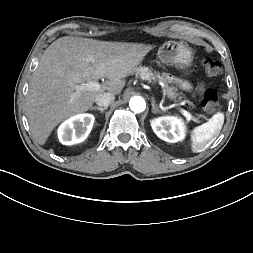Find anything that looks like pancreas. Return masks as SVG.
<instances>
[{"instance_id":"1","label":"pancreas","mask_w":253,"mask_h":253,"mask_svg":"<svg viewBox=\"0 0 253 253\" xmlns=\"http://www.w3.org/2000/svg\"><path fill=\"white\" fill-rule=\"evenodd\" d=\"M136 75L140 77V79L148 81L149 83L162 82L163 83V93L167 95V97L174 101H181L182 96L177 92V88L174 86H170L169 84L173 83L176 78L170 76L168 73H160L153 71L152 68L142 67L140 66L136 70Z\"/></svg>"}]
</instances>
